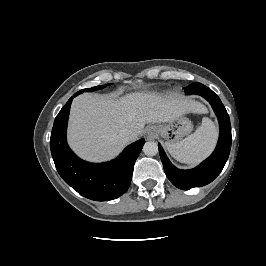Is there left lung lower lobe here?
I'll list each match as a JSON object with an SVG mask.
<instances>
[{"label": "left lung lower lobe", "instance_id": "left-lung-lower-lobe-1", "mask_svg": "<svg viewBox=\"0 0 266 266\" xmlns=\"http://www.w3.org/2000/svg\"><path fill=\"white\" fill-rule=\"evenodd\" d=\"M184 90L186 94L193 93L204 97L211 104L220 125V136L216 149L210 157L190 170H180L173 166L159 145V153L167 177L176 187L188 190L207 185L220 174L230 153L232 137L228 113L217 94L201 83H193Z\"/></svg>", "mask_w": 266, "mask_h": 266}]
</instances>
